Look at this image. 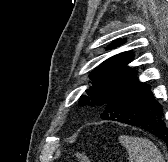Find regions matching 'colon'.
<instances>
[{
	"instance_id": "obj_1",
	"label": "colon",
	"mask_w": 168,
	"mask_h": 162,
	"mask_svg": "<svg viewBox=\"0 0 168 162\" xmlns=\"http://www.w3.org/2000/svg\"><path fill=\"white\" fill-rule=\"evenodd\" d=\"M75 158L77 162H91L90 158L84 153H77Z\"/></svg>"
}]
</instances>
